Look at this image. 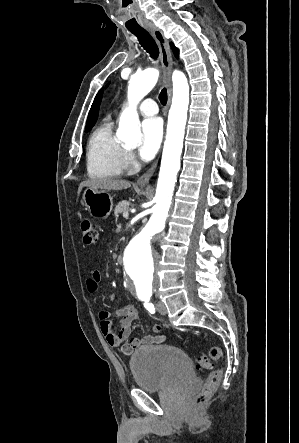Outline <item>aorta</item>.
Segmentation results:
<instances>
[{
  "instance_id": "1",
  "label": "aorta",
  "mask_w": 299,
  "mask_h": 443,
  "mask_svg": "<svg viewBox=\"0 0 299 443\" xmlns=\"http://www.w3.org/2000/svg\"><path fill=\"white\" fill-rule=\"evenodd\" d=\"M158 77L159 71L153 68L131 77L128 86L129 106L120 116L116 132L118 139L128 144L140 142V122L136 107L155 86ZM172 83L173 98L156 188V204L150 220L130 240L124 253V269L131 280L132 293L139 300H149L154 295L156 256L151 242L165 228L177 173L180 170L189 105V85L185 74L181 71L173 72Z\"/></svg>"
}]
</instances>
